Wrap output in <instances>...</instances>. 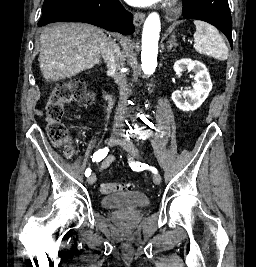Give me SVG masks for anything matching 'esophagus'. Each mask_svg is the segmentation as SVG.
<instances>
[{"label":"esophagus","instance_id":"34e87169","mask_svg":"<svg viewBox=\"0 0 256 267\" xmlns=\"http://www.w3.org/2000/svg\"><path fill=\"white\" fill-rule=\"evenodd\" d=\"M144 18H145V14L144 13H141V12H136L134 14V25L136 27H140L141 24L143 23L144 21Z\"/></svg>","mask_w":256,"mask_h":267}]
</instances>
